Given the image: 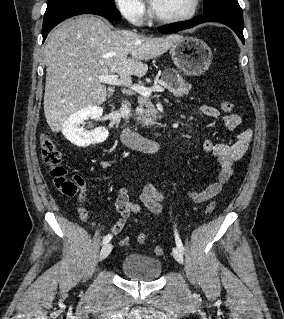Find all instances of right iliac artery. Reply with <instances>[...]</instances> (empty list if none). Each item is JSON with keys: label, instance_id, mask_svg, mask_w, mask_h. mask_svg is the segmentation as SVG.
<instances>
[{"label": "right iliac artery", "instance_id": "obj_1", "mask_svg": "<svg viewBox=\"0 0 284 319\" xmlns=\"http://www.w3.org/2000/svg\"><path fill=\"white\" fill-rule=\"evenodd\" d=\"M111 238H112L111 234L106 235L103 239V244L108 243L111 240Z\"/></svg>", "mask_w": 284, "mask_h": 319}]
</instances>
